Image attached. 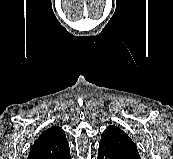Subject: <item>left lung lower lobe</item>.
Masks as SVG:
<instances>
[{"label": "left lung lower lobe", "instance_id": "obj_1", "mask_svg": "<svg viewBox=\"0 0 173 159\" xmlns=\"http://www.w3.org/2000/svg\"><path fill=\"white\" fill-rule=\"evenodd\" d=\"M97 159H133L131 157L122 155L109 147L100 144L98 149Z\"/></svg>", "mask_w": 173, "mask_h": 159}]
</instances>
